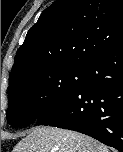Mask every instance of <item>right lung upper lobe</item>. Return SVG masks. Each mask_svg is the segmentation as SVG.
Returning <instances> with one entry per match:
<instances>
[{"instance_id":"cb5924a9","label":"right lung upper lobe","mask_w":123,"mask_h":152,"mask_svg":"<svg viewBox=\"0 0 123 152\" xmlns=\"http://www.w3.org/2000/svg\"><path fill=\"white\" fill-rule=\"evenodd\" d=\"M123 43V0H57L46 8L17 51L9 88L29 74L84 69Z\"/></svg>"}]
</instances>
